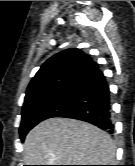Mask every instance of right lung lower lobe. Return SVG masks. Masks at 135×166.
I'll list each match as a JSON object with an SVG mask.
<instances>
[{
  "mask_svg": "<svg viewBox=\"0 0 135 166\" xmlns=\"http://www.w3.org/2000/svg\"><path fill=\"white\" fill-rule=\"evenodd\" d=\"M68 86L72 98L56 117L86 121L113 133L110 91L103 73L97 69Z\"/></svg>",
  "mask_w": 135,
  "mask_h": 166,
  "instance_id": "obj_1",
  "label": "right lung lower lobe"
}]
</instances>
